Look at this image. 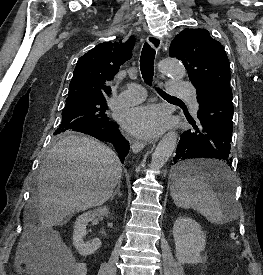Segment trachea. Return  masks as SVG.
I'll return each mask as SVG.
<instances>
[{"label":"trachea","mask_w":263,"mask_h":275,"mask_svg":"<svg viewBox=\"0 0 263 275\" xmlns=\"http://www.w3.org/2000/svg\"><path fill=\"white\" fill-rule=\"evenodd\" d=\"M155 50L146 42L143 46L141 56H140V69L142 73V77L146 84H152V78L154 75V58H155ZM157 92L166 99H178L174 96L166 94L161 89H156Z\"/></svg>","instance_id":"1"}]
</instances>
